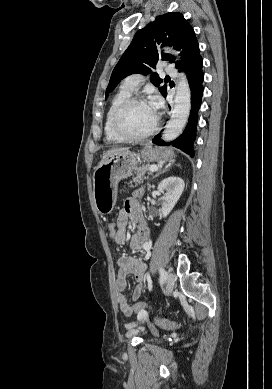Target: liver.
<instances>
[{"label":"liver","instance_id":"1","mask_svg":"<svg viewBox=\"0 0 272 389\" xmlns=\"http://www.w3.org/2000/svg\"><path fill=\"white\" fill-rule=\"evenodd\" d=\"M128 149H129L128 147H120V148L110 149L106 153L103 154L102 161H105L108 157H110L112 155L127 151Z\"/></svg>","mask_w":272,"mask_h":389}]
</instances>
